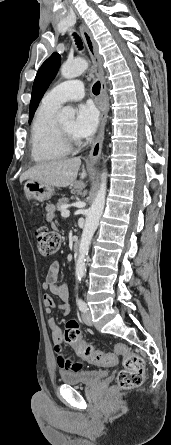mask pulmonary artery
Segmentation results:
<instances>
[{
    "label": "pulmonary artery",
    "mask_w": 171,
    "mask_h": 445,
    "mask_svg": "<svg viewBox=\"0 0 171 445\" xmlns=\"http://www.w3.org/2000/svg\"><path fill=\"white\" fill-rule=\"evenodd\" d=\"M84 85L79 80H68L53 87L44 97L43 102L61 106L68 101H78L84 97Z\"/></svg>",
    "instance_id": "pulmonary-artery-1"
}]
</instances>
